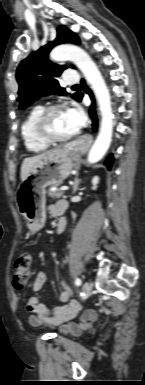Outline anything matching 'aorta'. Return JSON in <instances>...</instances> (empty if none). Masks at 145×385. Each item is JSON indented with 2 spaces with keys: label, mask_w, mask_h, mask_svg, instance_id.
Returning <instances> with one entry per match:
<instances>
[{
  "label": "aorta",
  "mask_w": 145,
  "mask_h": 385,
  "mask_svg": "<svg viewBox=\"0 0 145 385\" xmlns=\"http://www.w3.org/2000/svg\"><path fill=\"white\" fill-rule=\"evenodd\" d=\"M54 61L71 60L82 71L88 83L95 92L101 113L99 134L88 154V162L100 161L109 149L113 133V113L110 93L106 83L90 56L80 47L75 45H61L50 53Z\"/></svg>",
  "instance_id": "obj_1"
}]
</instances>
